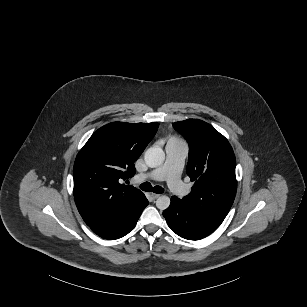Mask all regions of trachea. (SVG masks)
Wrapping results in <instances>:
<instances>
[{"label":"trachea","instance_id":"1","mask_svg":"<svg viewBox=\"0 0 307 307\" xmlns=\"http://www.w3.org/2000/svg\"><path fill=\"white\" fill-rule=\"evenodd\" d=\"M139 188L143 191H146V192L153 191L154 193H157V194H162L164 192V188H162L161 186L152 187V185L149 182H144L140 184Z\"/></svg>","mask_w":307,"mask_h":307}]
</instances>
